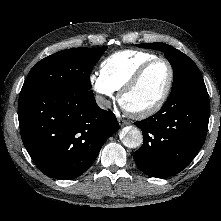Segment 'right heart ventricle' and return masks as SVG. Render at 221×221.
I'll return each instance as SVG.
<instances>
[{"mask_svg": "<svg viewBox=\"0 0 221 221\" xmlns=\"http://www.w3.org/2000/svg\"><path fill=\"white\" fill-rule=\"evenodd\" d=\"M157 57L141 50H123L105 58L100 73L113 90H120L133 73L146 61Z\"/></svg>", "mask_w": 221, "mask_h": 221, "instance_id": "e07e8e85", "label": "right heart ventricle"}]
</instances>
